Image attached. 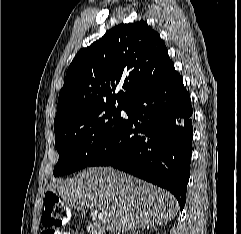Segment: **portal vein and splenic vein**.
I'll use <instances>...</instances> for the list:
<instances>
[{
	"instance_id": "obj_1",
	"label": "portal vein and splenic vein",
	"mask_w": 241,
	"mask_h": 234,
	"mask_svg": "<svg viewBox=\"0 0 241 234\" xmlns=\"http://www.w3.org/2000/svg\"><path fill=\"white\" fill-rule=\"evenodd\" d=\"M95 214H98V219H102V215L97 210H95Z\"/></svg>"
}]
</instances>
